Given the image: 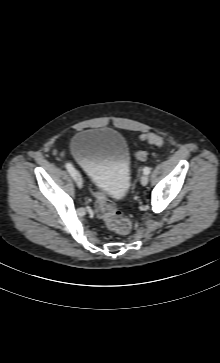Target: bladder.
<instances>
[{
  "label": "bladder",
  "mask_w": 220,
  "mask_h": 363,
  "mask_svg": "<svg viewBox=\"0 0 220 363\" xmlns=\"http://www.w3.org/2000/svg\"><path fill=\"white\" fill-rule=\"evenodd\" d=\"M70 152L93 185L112 201L126 195L130 180V152L122 134L109 128H87L77 132Z\"/></svg>",
  "instance_id": "bladder-1"
}]
</instances>
